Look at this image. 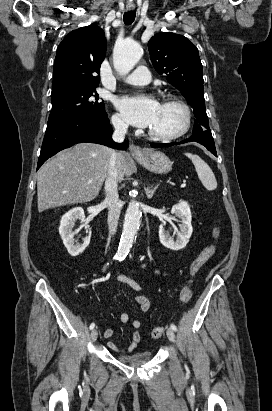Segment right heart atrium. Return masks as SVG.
Listing matches in <instances>:
<instances>
[{
    "mask_svg": "<svg viewBox=\"0 0 272 411\" xmlns=\"http://www.w3.org/2000/svg\"><path fill=\"white\" fill-rule=\"evenodd\" d=\"M112 121H113V124L115 125V127H117V128H124L126 126L122 116L119 115V114H115L113 116Z\"/></svg>",
    "mask_w": 272,
    "mask_h": 411,
    "instance_id": "d8ad5b80",
    "label": "right heart atrium"
}]
</instances>
